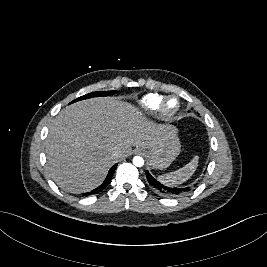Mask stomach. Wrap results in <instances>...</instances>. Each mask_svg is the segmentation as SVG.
Listing matches in <instances>:
<instances>
[{
	"label": "stomach",
	"instance_id": "1",
	"mask_svg": "<svg viewBox=\"0 0 267 267\" xmlns=\"http://www.w3.org/2000/svg\"><path fill=\"white\" fill-rule=\"evenodd\" d=\"M166 133L159 143L153 147L142 148L148 158V164L153 169H165L180 154V141L176 128L166 127Z\"/></svg>",
	"mask_w": 267,
	"mask_h": 267
}]
</instances>
